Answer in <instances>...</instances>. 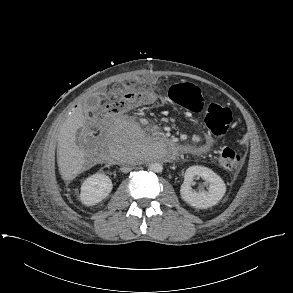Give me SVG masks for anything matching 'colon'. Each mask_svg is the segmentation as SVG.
<instances>
[{
  "label": "colon",
  "instance_id": "colon-1",
  "mask_svg": "<svg viewBox=\"0 0 293 293\" xmlns=\"http://www.w3.org/2000/svg\"><path fill=\"white\" fill-rule=\"evenodd\" d=\"M171 101L182 108L192 112L203 109V97L199 87L192 83H182L172 87ZM154 102L153 94L148 90H133L117 100H113L102 108L96 115L98 121L108 116L128 112L137 108L148 106ZM206 127L215 135H224L231 126L232 112L229 108L219 104H210L205 119ZM219 163L227 170L236 171L240 168L241 157L236 150L223 146L217 151Z\"/></svg>",
  "mask_w": 293,
  "mask_h": 293
}]
</instances>
